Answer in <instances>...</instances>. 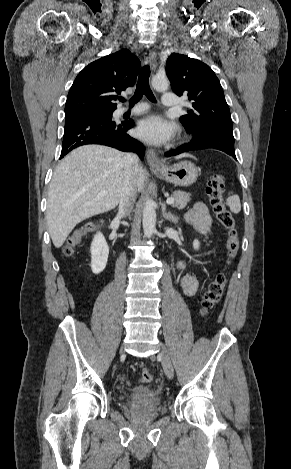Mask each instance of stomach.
Listing matches in <instances>:
<instances>
[{"instance_id":"obj_1","label":"stomach","mask_w":291,"mask_h":469,"mask_svg":"<svg viewBox=\"0 0 291 469\" xmlns=\"http://www.w3.org/2000/svg\"><path fill=\"white\" fill-rule=\"evenodd\" d=\"M161 179L179 186H189L198 177L197 167L190 161H181L172 166H163L161 170H153Z\"/></svg>"}]
</instances>
